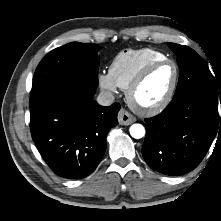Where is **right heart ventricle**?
I'll list each match as a JSON object with an SVG mask.
<instances>
[{
    "label": "right heart ventricle",
    "mask_w": 221,
    "mask_h": 221,
    "mask_svg": "<svg viewBox=\"0 0 221 221\" xmlns=\"http://www.w3.org/2000/svg\"><path fill=\"white\" fill-rule=\"evenodd\" d=\"M165 58V54L152 48L127 49L112 60L109 74L118 87L127 89L148 63Z\"/></svg>",
    "instance_id": "e07e8e85"
}]
</instances>
